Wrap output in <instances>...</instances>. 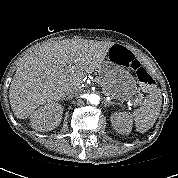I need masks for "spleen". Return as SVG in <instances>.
<instances>
[{
  "label": "spleen",
  "instance_id": "1",
  "mask_svg": "<svg viewBox=\"0 0 178 178\" xmlns=\"http://www.w3.org/2000/svg\"><path fill=\"white\" fill-rule=\"evenodd\" d=\"M161 105L160 90L153 87L143 105L131 114L138 132H146L154 125L160 113Z\"/></svg>",
  "mask_w": 178,
  "mask_h": 178
}]
</instances>
